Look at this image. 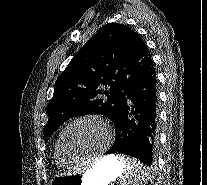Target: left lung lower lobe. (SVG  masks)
Returning a JSON list of instances; mask_svg holds the SVG:
<instances>
[{"label":"left lung lower lobe","instance_id":"obj_1","mask_svg":"<svg viewBox=\"0 0 207 185\" xmlns=\"http://www.w3.org/2000/svg\"><path fill=\"white\" fill-rule=\"evenodd\" d=\"M157 103V80L152 66L127 93L114 122L115 141L106 154H126L150 166L158 142Z\"/></svg>","mask_w":207,"mask_h":185}]
</instances>
